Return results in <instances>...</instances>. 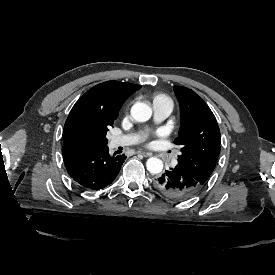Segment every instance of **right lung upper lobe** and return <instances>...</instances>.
Segmentation results:
<instances>
[{
	"mask_svg": "<svg viewBox=\"0 0 275 275\" xmlns=\"http://www.w3.org/2000/svg\"><path fill=\"white\" fill-rule=\"evenodd\" d=\"M137 89L139 86L135 84L107 81L88 90L69 113L63 131V146L70 145V132L79 122L98 117L116 119L123 102Z\"/></svg>",
	"mask_w": 275,
	"mask_h": 275,
	"instance_id": "obj_1",
	"label": "right lung upper lobe"
}]
</instances>
